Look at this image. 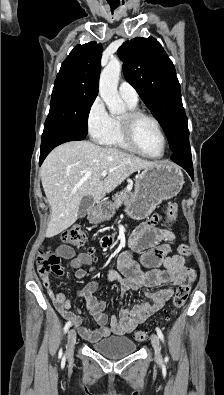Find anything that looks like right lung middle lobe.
<instances>
[{"label": "right lung middle lobe", "instance_id": "dd1d6c3e", "mask_svg": "<svg viewBox=\"0 0 224 395\" xmlns=\"http://www.w3.org/2000/svg\"><path fill=\"white\" fill-rule=\"evenodd\" d=\"M97 94L79 86L55 82L46 121L66 124L87 135L88 115Z\"/></svg>", "mask_w": 224, "mask_h": 395}]
</instances>
